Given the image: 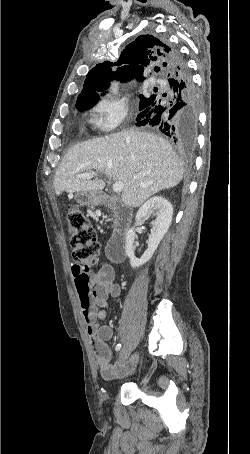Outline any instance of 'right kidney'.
<instances>
[{
    "label": "right kidney",
    "mask_w": 250,
    "mask_h": 454,
    "mask_svg": "<svg viewBox=\"0 0 250 454\" xmlns=\"http://www.w3.org/2000/svg\"><path fill=\"white\" fill-rule=\"evenodd\" d=\"M155 216L156 219L152 222L151 234L148 238V249L144 252L140 259H137L134 254V227L126 234L125 253L130 259L132 268L139 267L148 262L157 249L160 241L167 233L171 225L173 207L171 203L161 196H154L147 200L137 211L136 224L143 223L148 216Z\"/></svg>",
    "instance_id": "obj_1"
}]
</instances>
